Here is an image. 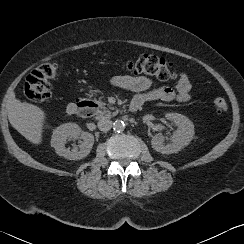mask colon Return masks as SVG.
<instances>
[{
    "instance_id": "5ec220e1",
    "label": "colon",
    "mask_w": 244,
    "mask_h": 244,
    "mask_svg": "<svg viewBox=\"0 0 244 244\" xmlns=\"http://www.w3.org/2000/svg\"><path fill=\"white\" fill-rule=\"evenodd\" d=\"M122 67L130 72L151 75L164 81H174L178 78V74L164 58L153 55L125 62ZM57 72V65L50 62L33 69L25 78L23 91L26 97L35 102L48 99L52 89L51 80ZM214 107L218 113H223L228 109V104L224 98L218 97L214 100Z\"/></svg>"
}]
</instances>
